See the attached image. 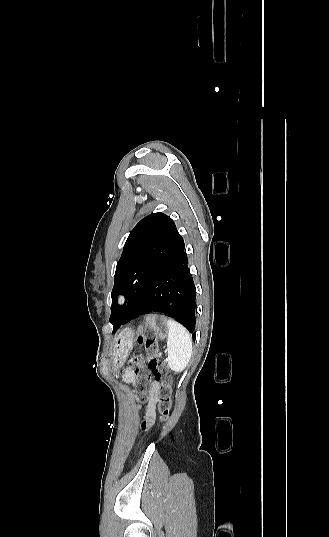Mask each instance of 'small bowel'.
<instances>
[{
	"mask_svg": "<svg viewBox=\"0 0 329 537\" xmlns=\"http://www.w3.org/2000/svg\"><path fill=\"white\" fill-rule=\"evenodd\" d=\"M135 372L131 368H127L124 373V380L128 383H131L135 380ZM159 383L157 381L152 382V389L150 391L149 403L147 406L146 416L149 421L153 420L155 417L156 401L158 394Z\"/></svg>",
	"mask_w": 329,
	"mask_h": 537,
	"instance_id": "small-bowel-1",
	"label": "small bowel"
}]
</instances>
